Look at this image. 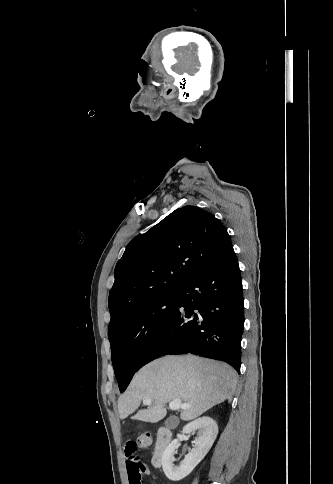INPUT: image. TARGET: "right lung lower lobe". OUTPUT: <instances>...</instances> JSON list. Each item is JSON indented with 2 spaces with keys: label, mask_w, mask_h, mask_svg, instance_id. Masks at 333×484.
<instances>
[{
  "label": "right lung lower lobe",
  "mask_w": 333,
  "mask_h": 484,
  "mask_svg": "<svg viewBox=\"0 0 333 484\" xmlns=\"http://www.w3.org/2000/svg\"><path fill=\"white\" fill-rule=\"evenodd\" d=\"M242 282L232 245L179 291L177 307L146 345L135 372L168 354L223 360L240 372Z\"/></svg>",
  "instance_id": "1"
}]
</instances>
